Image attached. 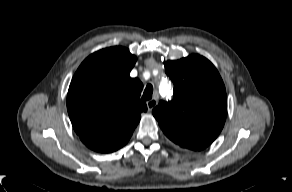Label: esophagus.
I'll use <instances>...</instances> for the list:
<instances>
[{
	"mask_svg": "<svg viewBox=\"0 0 292 192\" xmlns=\"http://www.w3.org/2000/svg\"><path fill=\"white\" fill-rule=\"evenodd\" d=\"M157 103H158L157 99H151V100L147 101L146 104H147V108H148V110H149V111H152V109H153L154 107H156Z\"/></svg>",
	"mask_w": 292,
	"mask_h": 192,
	"instance_id": "esophagus-1",
	"label": "esophagus"
}]
</instances>
